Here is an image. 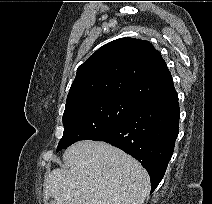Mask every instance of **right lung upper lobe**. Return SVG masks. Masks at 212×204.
Here are the masks:
<instances>
[{
    "mask_svg": "<svg viewBox=\"0 0 212 204\" xmlns=\"http://www.w3.org/2000/svg\"><path fill=\"white\" fill-rule=\"evenodd\" d=\"M172 87L165 61L150 42L120 38L99 48L78 67L65 108L109 96L140 103Z\"/></svg>",
    "mask_w": 212,
    "mask_h": 204,
    "instance_id": "right-lung-upper-lobe-1",
    "label": "right lung upper lobe"
}]
</instances>
